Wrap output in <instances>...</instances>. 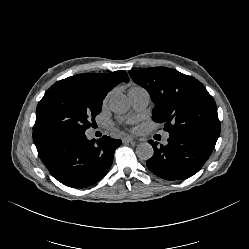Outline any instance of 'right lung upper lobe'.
I'll list each match as a JSON object with an SVG mask.
<instances>
[{
    "mask_svg": "<svg viewBox=\"0 0 249 249\" xmlns=\"http://www.w3.org/2000/svg\"><path fill=\"white\" fill-rule=\"evenodd\" d=\"M128 81L129 77L125 71H116L107 74H78L61 80V82L81 84L90 89L93 94L103 99L117 84Z\"/></svg>",
    "mask_w": 249,
    "mask_h": 249,
    "instance_id": "1",
    "label": "right lung upper lobe"
}]
</instances>
